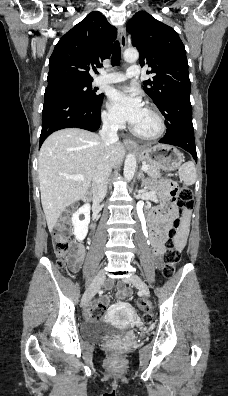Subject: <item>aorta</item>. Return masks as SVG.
<instances>
[{
    "label": "aorta",
    "mask_w": 228,
    "mask_h": 396,
    "mask_svg": "<svg viewBox=\"0 0 228 396\" xmlns=\"http://www.w3.org/2000/svg\"><path fill=\"white\" fill-rule=\"evenodd\" d=\"M139 53L136 49H127L124 52V60L128 63H134L138 60ZM136 169V158L135 155L129 153L126 156L124 164V177L127 181L132 180Z\"/></svg>",
    "instance_id": "1"
}]
</instances>
